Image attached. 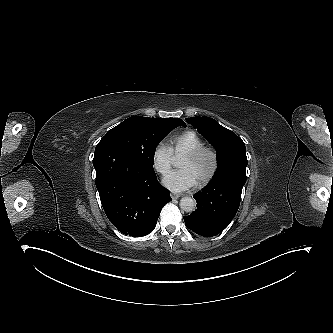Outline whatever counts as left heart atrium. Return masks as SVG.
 I'll return each instance as SVG.
<instances>
[{
	"instance_id": "left-heart-atrium-1",
	"label": "left heart atrium",
	"mask_w": 333,
	"mask_h": 333,
	"mask_svg": "<svg viewBox=\"0 0 333 333\" xmlns=\"http://www.w3.org/2000/svg\"><path fill=\"white\" fill-rule=\"evenodd\" d=\"M163 183L169 189L180 192L191 188L194 180L187 170L180 169L166 174Z\"/></svg>"
}]
</instances>
